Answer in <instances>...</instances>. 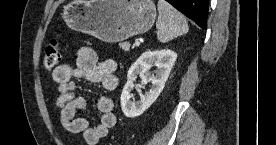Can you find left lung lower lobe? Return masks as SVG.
I'll use <instances>...</instances> for the list:
<instances>
[{
  "instance_id": "obj_1",
  "label": "left lung lower lobe",
  "mask_w": 276,
  "mask_h": 145,
  "mask_svg": "<svg viewBox=\"0 0 276 145\" xmlns=\"http://www.w3.org/2000/svg\"><path fill=\"white\" fill-rule=\"evenodd\" d=\"M192 19L202 29L207 28L208 0H166Z\"/></svg>"
}]
</instances>
